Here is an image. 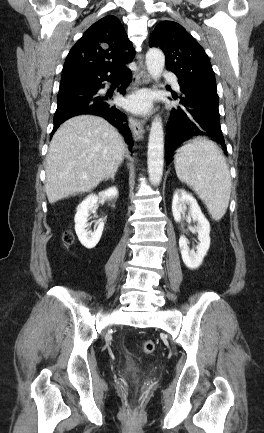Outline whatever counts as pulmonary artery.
Masks as SVG:
<instances>
[{"label": "pulmonary artery", "instance_id": "1", "mask_svg": "<svg viewBox=\"0 0 264 433\" xmlns=\"http://www.w3.org/2000/svg\"><path fill=\"white\" fill-rule=\"evenodd\" d=\"M163 76H164V78H170L171 77V75L169 73H164ZM172 85L176 90L180 89V86L176 80L172 81Z\"/></svg>", "mask_w": 264, "mask_h": 433}]
</instances>
